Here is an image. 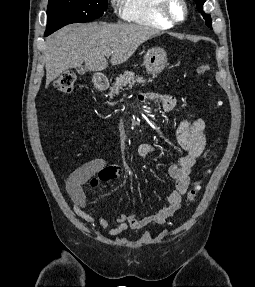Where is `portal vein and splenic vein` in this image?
I'll return each instance as SVG.
<instances>
[{"label":"portal vein and splenic vein","instance_id":"portal-vein-and-splenic-vein-1","mask_svg":"<svg viewBox=\"0 0 255 287\" xmlns=\"http://www.w3.org/2000/svg\"><path fill=\"white\" fill-rule=\"evenodd\" d=\"M111 54H113V52H109V54H106V56H111Z\"/></svg>","mask_w":255,"mask_h":287}]
</instances>
